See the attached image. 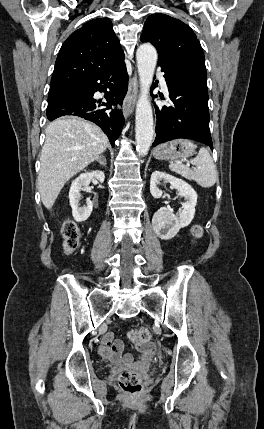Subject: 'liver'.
<instances>
[{
	"label": "liver",
	"instance_id": "6515ba94",
	"mask_svg": "<svg viewBox=\"0 0 264 429\" xmlns=\"http://www.w3.org/2000/svg\"><path fill=\"white\" fill-rule=\"evenodd\" d=\"M41 151L38 190L43 205L51 209L65 183L108 147V138L95 124L77 117L51 122Z\"/></svg>",
	"mask_w": 264,
	"mask_h": 429
}]
</instances>
